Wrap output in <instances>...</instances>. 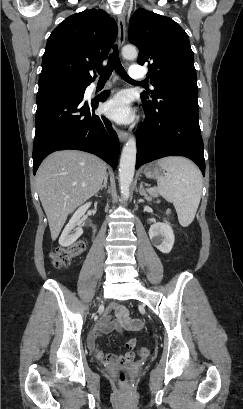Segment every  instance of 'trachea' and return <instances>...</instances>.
<instances>
[{
	"label": "trachea",
	"instance_id": "obj_1",
	"mask_svg": "<svg viewBox=\"0 0 243 409\" xmlns=\"http://www.w3.org/2000/svg\"><path fill=\"white\" fill-rule=\"evenodd\" d=\"M113 70H115L123 80L134 81L128 76L127 72L121 65L117 45H114L113 51L109 55L107 66H105L104 68H97V72L100 75V80L109 79Z\"/></svg>",
	"mask_w": 243,
	"mask_h": 409
}]
</instances>
